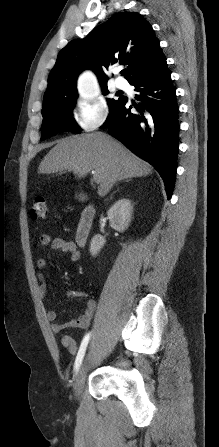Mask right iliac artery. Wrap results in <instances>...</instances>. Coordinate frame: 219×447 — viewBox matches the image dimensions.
<instances>
[{
	"mask_svg": "<svg viewBox=\"0 0 219 447\" xmlns=\"http://www.w3.org/2000/svg\"><path fill=\"white\" fill-rule=\"evenodd\" d=\"M90 336H91V333L90 332L87 333L84 336V338H83V340L81 342V345H80V348H79V351H78V354H77V357H76V360H75V364H74L75 372L78 371V369H79V367H80V365L82 363V360H83V357L85 355V351H86V348H87Z\"/></svg>",
	"mask_w": 219,
	"mask_h": 447,
	"instance_id": "1",
	"label": "right iliac artery"
}]
</instances>
